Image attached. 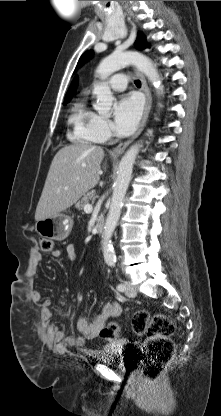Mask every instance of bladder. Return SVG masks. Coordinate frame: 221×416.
<instances>
[{
	"label": "bladder",
	"instance_id": "31cf9c89",
	"mask_svg": "<svg viewBox=\"0 0 221 416\" xmlns=\"http://www.w3.org/2000/svg\"><path fill=\"white\" fill-rule=\"evenodd\" d=\"M111 347L106 345L104 347V352H103V356H102V362H104L105 364H113V360L112 358L114 357V353L111 351L110 349ZM116 367H121L119 365H116ZM123 368V366H122Z\"/></svg>",
	"mask_w": 221,
	"mask_h": 416
}]
</instances>
